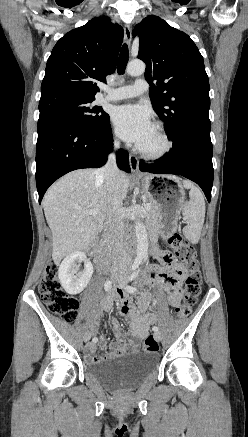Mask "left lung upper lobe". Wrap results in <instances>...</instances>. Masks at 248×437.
I'll return each mask as SVG.
<instances>
[{
    "mask_svg": "<svg viewBox=\"0 0 248 437\" xmlns=\"http://www.w3.org/2000/svg\"><path fill=\"white\" fill-rule=\"evenodd\" d=\"M132 34L139 36L138 58L146 64L152 106L168 138L187 123L209 120V80L191 38L153 15L137 24Z\"/></svg>",
    "mask_w": 248,
    "mask_h": 437,
    "instance_id": "obj_1",
    "label": "left lung upper lobe"
}]
</instances>
